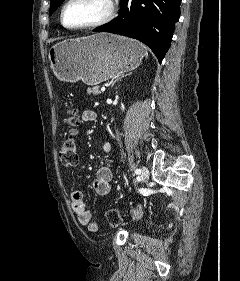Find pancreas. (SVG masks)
Returning a JSON list of instances; mask_svg holds the SVG:
<instances>
[{
  "label": "pancreas",
  "instance_id": "cf45deb5",
  "mask_svg": "<svg viewBox=\"0 0 240 281\" xmlns=\"http://www.w3.org/2000/svg\"><path fill=\"white\" fill-rule=\"evenodd\" d=\"M101 93L102 92L100 91V87L99 86H95L93 88H88L87 89V94H89V95L97 96V95H99Z\"/></svg>",
  "mask_w": 240,
  "mask_h": 281
}]
</instances>
